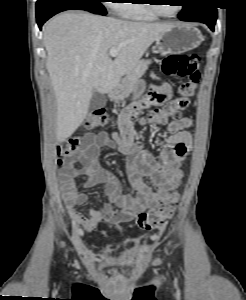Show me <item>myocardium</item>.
I'll use <instances>...</instances> for the list:
<instances>
[{"instance_id":"myocardium-1","label":"myocardium","mask_w":246,"mask_h":300,"mask_svg":"<svg viewBox=\"0 0 246 300\" xmlns=\"http://www.w3.org/2000/svg\"><path fill=\"white\" fill-rule=\"evenodd\" d=\"M149 2V6L151 8V10L159 17H163V18H173V17H176L180 14V12L182 11L183 9V6L179 5L178 9L175 11V13L173 14H166L164 13L161 8H160V5L157 4V1L156 0H148Z\"/></svg>"}]
</instances>
